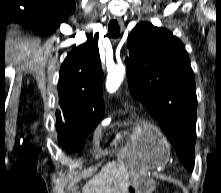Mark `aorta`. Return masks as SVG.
<instances>
[{
    "label": "aorta",
    "instance_id": "obj_1",
    "mask_svg": "<svg viewBox=\"0 0 221 193\" xmlns=\"http://www.w3.org/2000/svg\"><path fill=\"white\" fill-rule=\"evenodd\" d=\"M125 75V67L120 64L115 66L113 69L109 70L108 76H107V81H106V88L109 92H115Z\"/></svg>",
    "mask_w": 221,
    "mask_h": 193
}]
</instances>
